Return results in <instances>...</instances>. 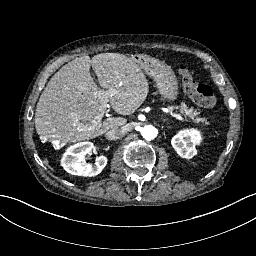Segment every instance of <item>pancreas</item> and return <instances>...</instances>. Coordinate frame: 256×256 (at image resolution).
<instances>
[{
  "label": "pancreas",
  "mask_w": 256,
  "mask_h": 256,
  "mask_svg": "<svg viewBox=\"0 0 256 256\" xmlns=\"http://www.w3.org/2000/svg\"><path fill=\"white\" fill-rule=\"evenodd\" d=\"M172 109L174 107H171ZM180 111L181 113H185L186 116L190 117L191 119H193V121L195 123H204L205 125H209V122L207 121L206 118H199V117H196V114L193 113L194 109L193 108H189L187 107V105L185 103H181V106H180Z\"/></svg>",
  "instance_id": "obj_1"
}]
</instances>
